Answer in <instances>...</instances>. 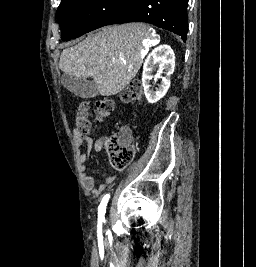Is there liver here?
Returning <instances> with one entry per match:
<instances>
[{
    "mask_svg": "<svg viewBox=\"0 0 256 267\" xmlns=\"http://www.w3.org/2000/svg\"><path fill=\"white\" fill-rule=\"evenodd\" d=\"M145 24L104 26L83 42L66 48L59 68L76 78H93L101 96H115L130 84L143 62Z\"/></svg>",
    "mask_w": 256,
    "mask_h": 267,
    "instance_id": "6515ba94",
    "label": "liver"
}]
</instances>
